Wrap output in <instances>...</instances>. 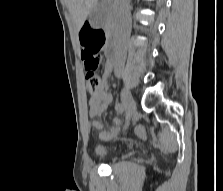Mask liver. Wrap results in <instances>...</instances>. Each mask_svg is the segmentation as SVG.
<instances>
[{"instance_id": "liver-1", "label": "liver", "mask_w": 223, "mask_h": 191, "mask_svg": "<svg viewBox=\"0 0 223 191\" xmlns=\"http://www.w3.org/2000/svg\"><path fill=\"white\" fill-rule=\"evenodd\" d=\"M98 0H68V8L79 30L90 12L96 7Z\"/></svg>"}]
</instances>
